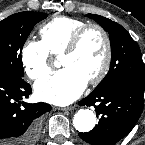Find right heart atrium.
<instances>
[{"instance_id":"obj_1","label":"right heart atrium","mask_w":145,"mask_h":145,"mask_svg":"<svg viewBox=\"0 0 145 145\" xmlns=\"http://www.w3.org/2000/svg\"><path fill=\"white\" fill-rule=\"evenodd\" d=\"M21 61L26 75L40 79L51 72L50 55L40 41H27L21 50Z\"/></svg>"}]
</instances>
